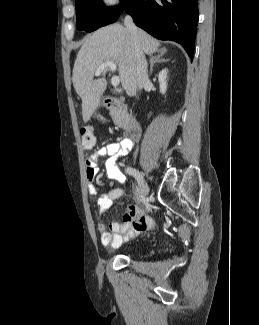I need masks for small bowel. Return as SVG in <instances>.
Instances as JSON below:
<instances>
[{"label":"small bowel","mask_w":259,"mask_h":325,"mask_svg":"<svg viewBox=\"0 0 259 325\" xmlns=\"http://www.w3.org/2000/svg\"><path fill=\"white\" fill-rule=\"evenodd\" d=\"M135 145V140L123 139L120 142H112L99 148L90 155L85 162L86 177L88 180V192L90 195H98L97 204L100 212H104L111 207L114 201L125 198L124 189L117 187L107 193L99 194L95 185V178L99 172L98 160L105 157L106 176L114 183L124 184L125 175L117 165L118 158L129 152ZM153 224L151 217L134 205H129L122 216L121 222H112L109 231L103 223H99L97 230L100 234L102 245L107 249L119 248L124 242L136 237L142 231L150 228Z\"/></svg>","instance_id":"obj_1"}]
</instances>
